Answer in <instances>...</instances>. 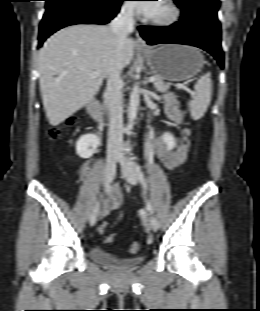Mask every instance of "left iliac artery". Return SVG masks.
Returning <instances> with one entry per match:
<instances>
[{
	"label": "left iliac artery",
	"instance_id": "left-iliac-artery-1",
	"mask_svg": "<svg viewBox=\"0 0 260 311\" xmlns=\"http://www.w3.org/2000/svg\"><path fill=\"white\" fill-rule=\"evenodd\" d=\"M134 160H135V161H134L135 169H136V171H137L139 180H140V182H141V184H142V186H143V188H144V190H145V193H146V189H147V182H146V179H145V177H144V174H143V172H142V170H141L140 165H139L138 162L136 161V158H134ZM147 209L150 211L151 214L154 213L153 208H152L151 203L149 202V200H147Z\"/></svg>",
	"mask_w": 260,
	"mask_h": 311
}]
</instances>
